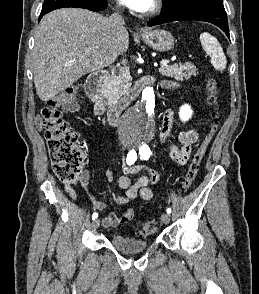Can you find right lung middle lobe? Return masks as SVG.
Returning <instances> with one entry per match:
<instances>
[{
  "label": "right lung middle lobe",
  "instance_id": "dd1d6c3e",
  "mask_svg": "<svg viewBox=\"0 0 259 294\" xmlns=\"http://www.w3.org/2000/svg\"><path fill=\"white\" fill-rule=\"evenodd\" d=\"M95 0H44V4L42 6V11L45 12L49 10L51 7H53L56 4L59 3H75V4H87L94 2Z\"/></svg>",
  "mask_w": 259,
  "mask_h": 294
}]
</instances>
